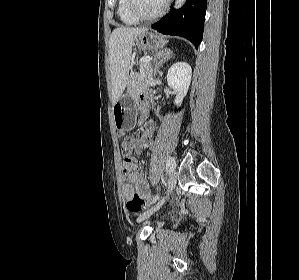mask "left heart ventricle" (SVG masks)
Masks as SVG:
<instances>
[{
  "mask_svg": "<svg viewBox=\"0 0 299 280\" xmlns=\"http://www.w3.org/2000/svg\"><path fill=\"white\" fill-rule=\"evenodd\" d=\"M165 0H137V8L143 15L150 16L157 13Z\"/></svg>",
  "mask_w": 299,
  "mask_h": 280,
  "instance_id": "obj_1",
  "label": "left heart ventricle"
}]
</instances>
